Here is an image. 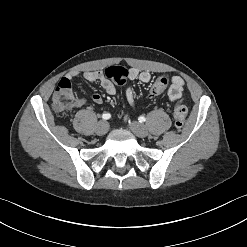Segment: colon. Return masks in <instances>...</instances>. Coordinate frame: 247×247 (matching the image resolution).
<instances>
[{"mask_svg":"<svg viewBox=\"0 0 247 247\" xmlns=\"http://www.w3.org/2000/svg\"><path fill=\"white\" fill-rule=\"evenodd\" d=\"M104 75L111 82L122 85L127 81L129 71L121 66H111L105 70ZM167 84V77L158 78L151 88V94H161L166 89ZM74 100L75 98L72 94L71 86L68 83L59 82L53 95V106L55 109L60 112H66L73 108ZM173 115L175 127L180 130L184 126L187 116V106L183 101L176 103Z\"/></svg>","mask_w":247,"mask_h":247,"instance_id":"5ec220e1","label":"colon"}]
</instances>
